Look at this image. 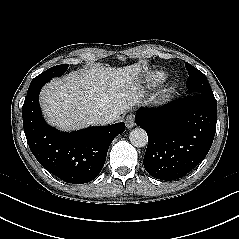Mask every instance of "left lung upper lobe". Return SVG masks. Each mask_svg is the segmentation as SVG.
Listing matches in <instances>:
<instances>
[{
    "label": "left lung upper lobe",
    "mask_w": 239,
    "mask_h": 239,
    "mask_svg": "<svg viewBox=\"0 0 239 239\" xmlns=\"http://www.w3.org/2000/svg\"><path fill=\"white\" fill-rule=\"evenodd\" d=\"M185 66L189 74L186 83L189 94H213L206 76L187 62H185Z\"/></svg>",
    "instance_id": "5c2ea615"
}]
</instances>
